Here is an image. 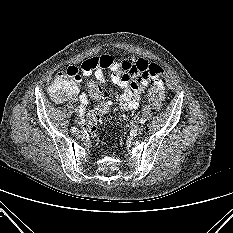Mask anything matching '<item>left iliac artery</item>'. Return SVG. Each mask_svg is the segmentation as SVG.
<instances>
[{"mask_svg":"<svg viewBox=\"0 0 233 233\" xmlns=\"http://www.w3.org/2000/svg\"><path fill=\"white\" fill-rule=\"evenodd\" d=\"M145 121H146V120H145L144 118H141V119H140V123H141V124H144Z\"/></svg>","mask_w":233,"mask_h":233,"instance_id":"1","label":"left iliac artery"}]
</instances>
